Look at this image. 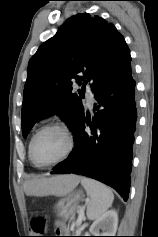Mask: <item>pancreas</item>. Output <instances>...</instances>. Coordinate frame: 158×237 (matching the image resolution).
<instances>
[{
  "instance_id": "pancreas-1",
  "label": "pancreas",
  "mask_w": 158,
  "mask_h": 237,
  "mask_svg": "<svg viewBox=\"0 0 158 237\" xmlns=\"http://www.w3.org/2000/svg\"><path fill=\"white\" fill-rule=\"evenodd\" d=\"M75 233H80V230H76Z\"/></svg>"
}]
</instances>
